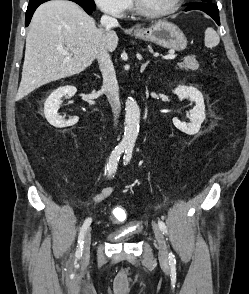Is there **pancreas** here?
Listing matches in <instances>:
<instances>
[{"instance_id":"1","label":"pancreas","mask_w":249,"mask_h":294,"mask_svg":"<svg viewBox=\"0 0 249 294\" xmlns=\"http://www.w3.org/2000/svg\"><path fill=\"white\" fill-rule=\"evenodd\" d=\"M179 69L196 71L199 69V63L194 56L184 58L183 62L178 63Z\"/></svg>"}]
</instances>
